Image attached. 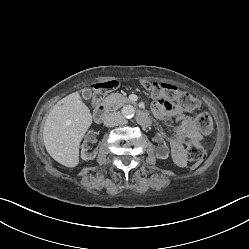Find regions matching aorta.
I'll use <instances>...</instances> for the list:
<instances>
[{
  "mask_svg": "<svg viewBox=\"0 0 249 249\" xmlns=\"http://www.w3.org/2000/svg\"><path fill=\"white\" fill-rule=\"evenodd\" d=\"M122 115L124 118H132L134 116V113H135V109L133 106L131 105H126L122 108V111H121Z\"/></svg>",
  "mask_w": 249,
  "mask_h": 249,
  "instance_id": "1",
  "label": "aorta"
}]
</instances>
